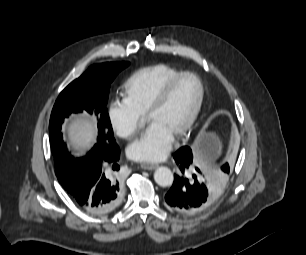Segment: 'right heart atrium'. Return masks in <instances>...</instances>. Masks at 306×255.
<instances>
[{
  "label": "right heart atrium",
  "instance_id": "1",
  "mask_svg": "<svg viewBox=\"0 0 306 255\" xmlns=\"http://www.w3.org/2000/svg\"><path fill=\"white\" fill-rule=\"evenodd\" d=\"M107 116L112 130L121 138H131L141 126L142 115L125 100L112 101L108 106Z\"/></svg>",
  "mask_w": 306,
  "mask_h": 255
}]
</instances>
